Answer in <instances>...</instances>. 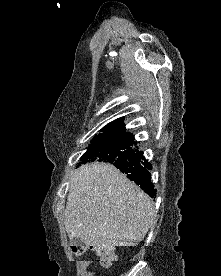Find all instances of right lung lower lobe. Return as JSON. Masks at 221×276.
Instances as JSON below:
<instances>
[{"instance_id":"right-lung-lower-lobe-1","label":"right lung lower lobe","mask_w":221,"mask_h":276,"mask_svg":"<svg viewBox=\"0 0 221 276\" xmlns=\"http://www.w3.org/2000/svg\"><path fill=\"white\" fill-rule=\"evenodd\" d=\"M112 164L125 173L131 181L140 185L149 196L156 195V189L151 182L152 164L144 158L143 152H134L128 158L116 160Z\"/></svg>"}]
</instances>
